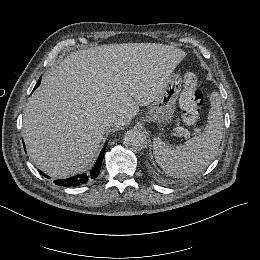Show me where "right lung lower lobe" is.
Listing matches in <instances>:
<instances>
[{
  "mask_svg": "<svg viewBox=\"0 0 260 260\" xmlns=\"http://www.w3.org/2000/svg\"><path fill=\"white\" fill-rule=\"evenodd\" d=\"M39 84H40V80H39L38 84L36 85V87H38ZM105 149H106V145L102 149L96 164L94 165V167L91 169V171L89 173H87V174L83 173L81 175L73 176V177H70V178H67V179L55 180L54 183L58 186H61V187H78V186H82V185L86 184L91 179H95L100 172V168H101ZM39 172L42 175H44L45 177L50 178L49 176L44 174L42 171H39Z\"/></svg>",
  "mask_w": 260,
  "mask_h": 260,
  "instance_id": "1",
  "label": "right lung lower lobe"
}]
</instances>
